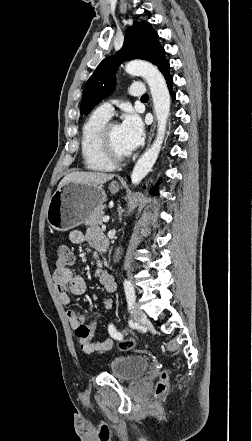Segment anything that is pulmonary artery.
<instances>
[{
	"label": "pulmonary artery",
	"instance_id": "1",
	"mask_svg": "<svg viewBox=\"0 0 252 441\" xmlns=\"http://www.w3.org/2000/svg\"><path fill=\"white\" fill-rule=\"evenodd\" d=\"M129 94L133 97H142L145 94V87L143 84H133L129 89ZM97 111L107 117H111L114 111V108L111 103H103L98 107Z\"/></svg>",
	"mask_w": 252,
	"mask_h": 441
}]
</instances>
